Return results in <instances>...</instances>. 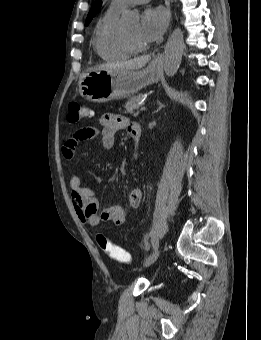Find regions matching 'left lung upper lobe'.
<instances>
[{"instance_id":"obj_1","label":"left lung upper lobe","mask_w":261,"mask_h":340,"mask_svg":"<svg viewBox=\"0 0 261 340\" xmlns=\"http://www.w3.org/2000/svg\"><path fill=\"white\" fill-rule=\"evenodd\" d=\"M101 6V2L100 1H97L94 6H93V9L89 12L88 16H87V19H86V25H88L92 18L96 15V13L98 12L99 8Z\"/></svg>"}]
</instances>
